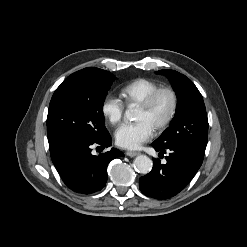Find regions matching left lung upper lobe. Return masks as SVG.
<instances>
[{
	"label": "left lung upper lobe",
	"instance_id": "5c2ea615",
	"mask_svg": "<svg viewBox=\"0 0 247 247\" xmlns=\"http://www.w3.org/2000/svg\"><path fill=\"white\" fill-rule=\"evenodd\" d=\"M156 73L169 78L178 102L170 127L155 142L162 146L188 143L199 150H205L208 119L201 93L189 78L177 71L160 70Z\"/></svg>",
	"mask_w": 247,
	"mask_h": 247
}]
</instances>
